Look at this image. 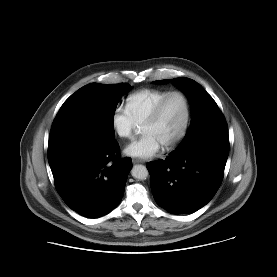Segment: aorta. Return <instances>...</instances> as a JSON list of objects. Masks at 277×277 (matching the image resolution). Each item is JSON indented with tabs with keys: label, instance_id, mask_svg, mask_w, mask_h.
<instances>
[{
	"label": "aorta",
	"instance_id": "1",
	"mask_svg": "<svg viewBox=\"0 0 277 277\" xmlns=\"http://www.w3.org/2000/svg\"><path fill=\"white\" fill-rule=\"evenodd\" d=\"M131 175L135 178V179H139V180H145L149 173L147 168L144 165H135L133 166L132 170H131Z\"/></svg>",
	"mask_w": 277,
	"mask_h": 277
}]
</instances>
